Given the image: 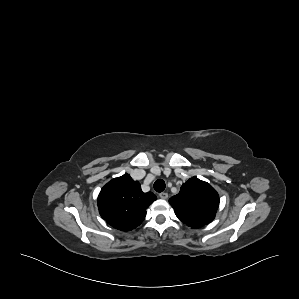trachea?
Wrapping results in <instances>:
<instances>
[{"instance_id":"1","label":"trachea","mask_w":299,"mask_h":299,"mask_svg":"<svg viewBox=\"0 0 299 299\" xmlns=\"http://www.w3.org/2000/svg\"><path fill=\"white\" fill-rule=\"evenodd\" d=\"M165 187H166L165 182L162 179H158L154 183V189L157 192H162L165 189Z\"/></svg>"}]
</instances>
